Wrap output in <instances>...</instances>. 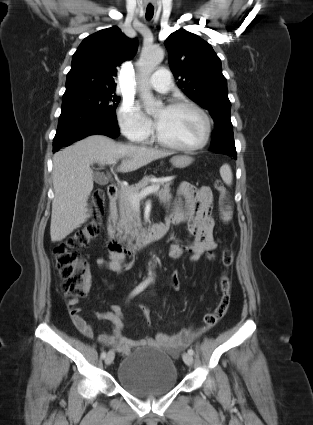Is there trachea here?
Here are the masks:
<instances>
[{"label": "trachea", "instance_id": "trachea-1", "mask_svg": "<svg viewBox=\"0 0 313 425\" xmlns=\"http://www.w3.org/2000/svg\"><path fill=\"white\" fill-rule=\"evenodd\" d=\"M154 15V9L153 8H147L146 9V19L150 20Z\"/></svg>", "mask_w": 313, "mask_h": 425}]
</instances>
